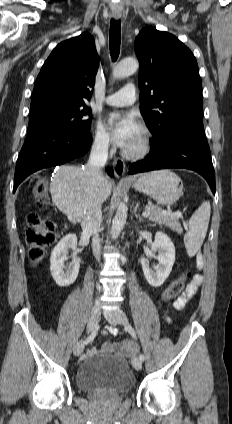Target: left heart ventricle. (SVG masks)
Here are the masks:
<instances>
[{
  "label": "left heart ventricle",
  "instance_id": "left-heart-ventricle-1",
  "mask_svg": "<svg viewBox=\"0 0 232 424\" xmlns=\"http://www.w3.org/2000/svg\"><path fill=\"white\" fill-rule=\"evenodd\" d=\"M141 139V132L139 131L138 135L131 141V143L126 148H135L139 145Z\"/></svg>",
  "mask_w": 232,
  "mask_h": 424
}]
</instances>
